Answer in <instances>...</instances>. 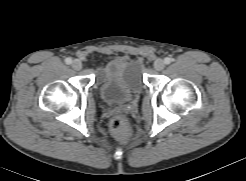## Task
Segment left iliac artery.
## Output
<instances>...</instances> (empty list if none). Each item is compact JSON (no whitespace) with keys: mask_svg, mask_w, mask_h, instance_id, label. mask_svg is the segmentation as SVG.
Segmentation results:
<instances>
[{"mask_svg":"<svg viewBox=\"0 0 246 181\" xmlns=\"http://www.w3.org/2000/svg\"><path fill=\"white\" fill-rule=\"evenodd\" d=\"M172 61H173V59L170 58V57H166V58L164 59L165 64H170Z\"/></svg>","mask_w":246,"mask_h":181,"instance_id":"1","label":"left iliac artery"}]
</instances>
